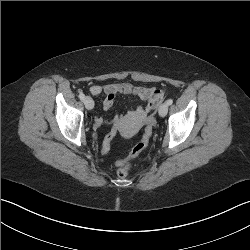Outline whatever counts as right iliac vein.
Listing matches in <instances>:
<instances>
[{"label":"right iliac vein","instance_id":"obj_1","mask_svg":"<svg viewBox=\"0 0 250 250\" xmlns=\"http://www.w3.org/2000/svg\"><path fill=\"white\" fill-rule=\"evenodd\" d=\"M83 103H84L85 107H86L88 110H91V109H93V107H94V101H93V99H92L91 97H89V96H87V97L84 98Z\"/></svg>","mask_w":250,"mask_h":250}]
</instances>
